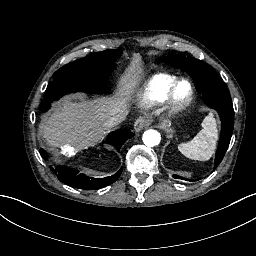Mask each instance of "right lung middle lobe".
<instances>
[{"instance_id":"right-lung-middle-lobe-1","label":"right lung middle lobe","mask_w":256,"mask_h":256,"mask_svg":"<svg viewBox=\"0 0 256 256\" xmlns=\"http://www.w3.org/2000/svg\"><path fill=\"white\" fill-rule=\"evenodd\" d=\"M121 52V50L107 49L61 67L54 73L53 81L48 84L44 94L46 101L41 103L40 109L48 110L50 101L57 100L70 92H107L104 79L112 70V62Z\"/></svg>"}]
</instances>
